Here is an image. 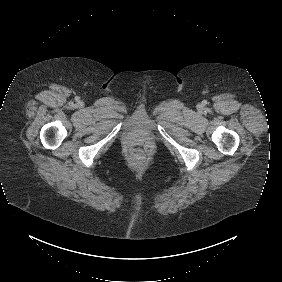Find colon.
<instances>
[{"label": "colon", "mask_w": 282, "mask_h": 282, "mask_svg": "<svg viewBox=\"0 0 282 282\" xmlns=\"http://www.w3.org/2000/svg\"><path fill=\"white\" fill-rule=\"evenodd\" d=\"M130 161L136 167H143L149 161V154L143 148H136L130 154Z\"/></svg>", "instance_id": "colon-1"}]
</instances>
